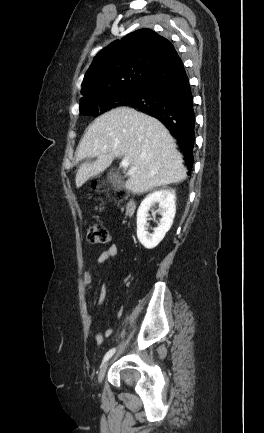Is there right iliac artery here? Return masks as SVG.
<instances>
[{
  "mask_svg": "<svg viewBox=\"0 0 264 433\" xmlns=\"http://www.w3.org/2000/svg\"><path fill=\"white\" fill-rule=\"evenodd\" d=\"M115 351H116V348H112L111 350H109L106 354H105V356H104V358H103V362H105V361H107L114 353H115Z\"/></svg>",
  "mask_w": 264,
  "mask_h": 433,
  "instance_id": "1",
  "label": "right iliac artery"
}]
</instances>
